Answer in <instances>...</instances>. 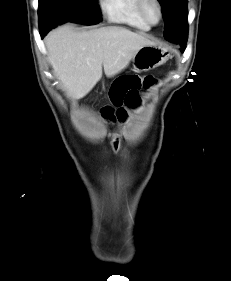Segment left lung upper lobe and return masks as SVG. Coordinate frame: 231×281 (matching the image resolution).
Segmentation results:
<instances>
[{
    "instance_id": "obj_1",
    "label": "left lung upper lobe",
    "mask_w": 231,
    "mask_h": 281,
    "mask_svg": "<svg viewBox=\"0 0 231 281\" xmlns=\"http://www.w3.org/2000/svg\"><path fill=\"white\" fill-rule=\"evenodd\" d=\"M159 2L165 21V38H169V35L176 31L188 32L187 0H159Z\"/></svg>"
}]
</instances>
